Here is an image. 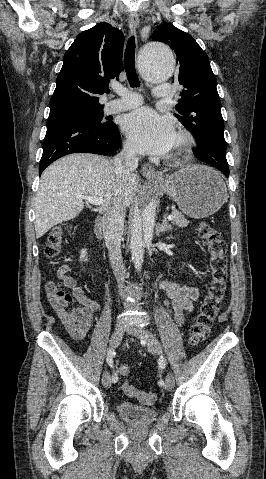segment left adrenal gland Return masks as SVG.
<instances>
[{
  "mask_svg": "<svg viewBox=\"0 0 266 479\" xmlns=\"http://www.w3.org/2000/svg\"><path fill=\"white\" fill-rule=\"evenodd\" d=\"M170 230H172V226L167 223L166 216H164L161 225H159L158 233H163L165 231H170Z\"/></svg>",
  "mask_w": 266,
  "mask_h": 479,
  "instance_id": "1",
  "label": "left adrenal gland"
}]
</instances>
